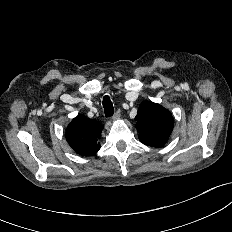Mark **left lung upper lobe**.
Instances as JSON below:
<instances>
[{
    "instance_id": "1",
    "label": "left lung upper lobe",
    "mask_w": 232,
    "mask_h": 232,
    "mask_svg": "<svg viewBox=\"0 0 232 232\" xmlns=\"http://www.w3.org/2000/svg\"><path fill=\"white\" fill-rule=\"evenodd\" d=\"M139 140L149 146L162 147L174 125L172 114L159 104L143 102L135 117Z\"/></svg>"
}]
</instances>
